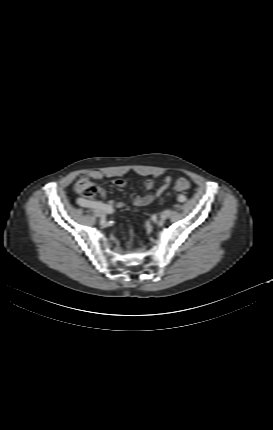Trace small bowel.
<instances>
[{"mask_svg": "<svg viewBox=\"0 0 273 430\" xmlns=\"http://www.w3.org/2000/svg\"><path fill=\"white\" fill-rule=\"evenodd\" d=\"M87 175L89 177H91L92 179H96V180L101 179L103 177V173L100 171H97V170L90 171L87 173ZM179 180H186V179L179 178L177 181H179ZM172 181H173L172 177L166 176L163 179L162 185L159 186L158 188H156V181L154 179H148L145 182V187L148 190V192L146 194L137 195L136 197H134L133 204L135 206L141 207V206H146V205L154 202L155 200L160 198V196L171 186ZM114 184L119 188H123L126 186V181L122 178H119V179H116L114 181ZM99 193L102 197L106 196V190L104 188H101ZM77 203L82 207L92 208V206H94L95 204H99L102 202L84 199V198H78ZM106 205L112 207V209L114 207L117 209H122L125 207V202L121 201V200L116 201V202L110 200Z\"/></svg>", "mask_w": 273, "mask_h": 430, "instance_id": "1", "label": "small bowel"}]
</instances>
